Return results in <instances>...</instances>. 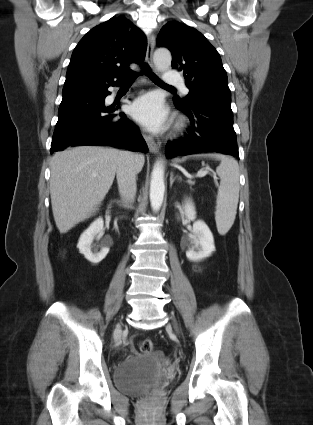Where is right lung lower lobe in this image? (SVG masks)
<instances>
[{
  "label": "right lung lower lobe",
  "instance_id": "right-lung-lower-lobe-1",
  "mask_svg": "<svg viewBox=\"0 0 313 425\" xmlns=\"http://www.w3.org/2000/svg\"><path fill=\"white\" fill-rule=\"evenodd\" d=\"M120 82L67 85L58 111V122L50 152L69 146H113L130 151L147 152V145L137 127L124 113L113 114L116 108L105 106L109 86Z\"/></svg>",
  "mask_w": 313,
  "mask_h": 425
}]
</instances>
